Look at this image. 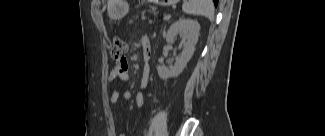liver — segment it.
Listing matches in <instances>:
<instances>
[{"label": "liver", "mask_w": 325, "mask_h": 136, "mask_svg": "<svg viewBox=\"0 0 325 136\" xmlns=\"http://www.w3.org/2000/svg\"><path fill=\"white\" fill-rule=\"evenodd\" d=\"M114 3H115L114 0H108V15L112 19H114L113 16H112V10H113V7H114Z\"/></svg>", "instance_id": "liver-1"}]
</instances>
